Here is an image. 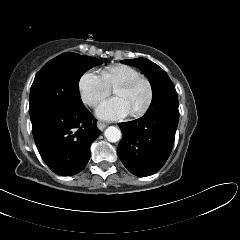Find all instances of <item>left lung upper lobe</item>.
<instances>
[{"label": "left lung upper lobe", "mask_w": 240, "mask_h": 240, "mask_svg": "<svg viewBox=\"0 0 240 240\" xmlns=\"http://www.w3.org/2000/svg\"><path fill=\"white\" fill-rule=\"evenodd\" d=\"M122 62L138 67L149 79L153 99L147 112L160 107L178 109L179 103L175 87L164 70L145 58L123 60Z\"/></svg>", "instance_id": "left-lung-upper-lobe-1"}]
</instances>
